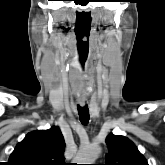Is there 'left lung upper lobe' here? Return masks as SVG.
Masks as SVG:
<instances>
[{
	"mask_svg": "<svg viewBox=\"0 0 165 165\" xmlns=\"http://www.w3.org/2000/svg\"><path fill=\"white\" fill-rule=\"evenodd\" d=\"M108 154L104 165H148L146 159L128 138L110 134L106 138Z\"/></svg>",
	"mask_w": 165,
	"mask_h": 165,
	"instance_id": "5c2ea615",
	"label": "left lung upper lobe"
}]
</instances>
